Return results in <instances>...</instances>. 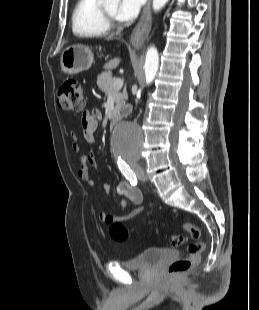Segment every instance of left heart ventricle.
<instances>
[{"mask_svg": "<svg viewBox=\"0 0 259 310\" xmlns=\"http://www.w3.org/2000/svg\"><path fill=\"white\" fill-rule=\"evenodd\" d=\"M117 7H118V3L117 2H111V3H108V4L104 5V8L107 11V13L109 15H111L112 17H114V18H115V15H116Z\"/></svg>", "mask_w": 259, "mask_h": 310, "instance_id": "left-heart-ventricle-1", "label": "left heart ventricle"}]
</instances>
